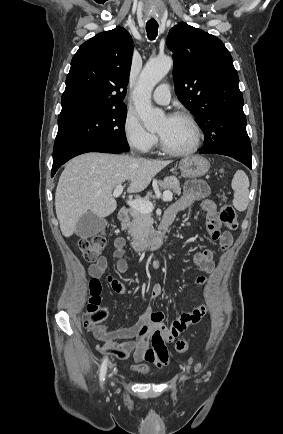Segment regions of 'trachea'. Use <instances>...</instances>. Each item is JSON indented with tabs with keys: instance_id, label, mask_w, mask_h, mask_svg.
I'll list each match as a JSON object with an SVG mask.
<instances>
[{
	"instance_id": "1",
	"label": "trachea",
	"mask_w": 283,
	"mask_h": 434,
	"mask_svg": "<svg viewBox=\"0 0 283 434\" xmlns=\"http://www.w3.org/2000/svg\"><path fill=\"white\" fill-rule=\"evenodd\" d=\"M147 36L150 40H154L158 34V23L155 21H148L146 23Z\"/></svg>"
}]
</instances>
